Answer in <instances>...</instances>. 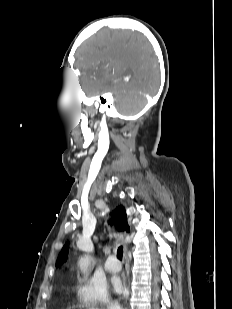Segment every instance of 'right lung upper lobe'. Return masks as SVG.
I'll return each instance as SVG.
<instances>
[{"label": "right lung upper lobe", "instance_id": "cb5924a9", "mask_svg": "<svg viewBox=\"0 0 232 309\" xmlns=\"http://www.w3.org/2000/svg\"><path fill=\"white\" fill-rule=\"evenodd\" d=\"M114 222L116 223L117 229L119 231L126 230L127 232H129V226L127 224V218L124 207L119 206L113 211V217L110 221V224H113ZM67 256H68V246L64 245L57 258L56 266L62 265L67 260Z\"/></svg>", "mask_w": 232, "mask_h": 309}]
</instances>
